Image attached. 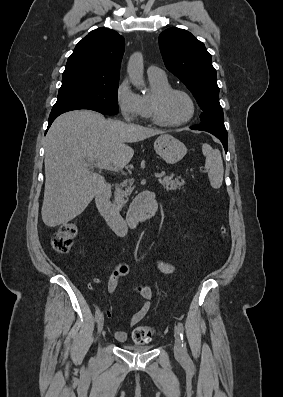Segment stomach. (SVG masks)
I'll return each mask as SVG.
<instances>
[{"instance_id": "0dacf381", "label": "stomach", "mask_w": 283, "mask_h": 397, "mask_svg": "<svg viewBox=\"0 0 283 397\" xmlns=\"http://www.w3.org/2000/svg\"><path fill=\"white\" fill-rule=\"evenodd\" d=\"M154 150L168 164L179 162L187 153L186 146L169 134H163L156 139Z\"/></svg>"}]
</instances>
